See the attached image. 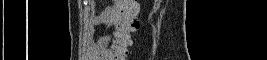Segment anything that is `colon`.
<instances>
[{
    "mask_svg": "<svg viewBox=\"0 0 267 60\" xmlns=\"http://www.w3.org/2000/svg\"><path fill=\"white\" fill-rule=\"evenodd\" d=\"M138 12L139 5L135 0H120L116 3L109 16L110 24L115 27L114 41L111 48L104 54L106 58L110 60L129 59L128 47L132 34L138 29Z\"/></svg>",
    "mask_w": 267,
    "mask_h": 60,
    "instance_id": "obj_1",
    "label": "colon"
}]
</instances>
